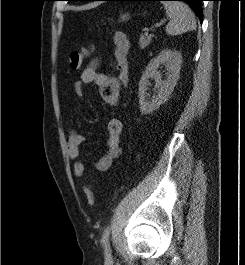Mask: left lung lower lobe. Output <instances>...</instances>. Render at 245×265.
<instances>
[{"instance_id": "obj_1", "label": "left lung lower lobe", "mask_w": 245, "mask_h": 265, "mask_svg": "<svg viewBox=\"0 0 245 265\" xmlns=\"http://www.w3.org/2000/svg\"><path fill=\"white\" fill-rule=\"evenodd\" d=\"M82 1H100V0H82ZM106 1H142V0H106ZM153 1H162V0H153ZM178 1H184L188 3L193 8V10L197 13L200 20L202 21L203 19L202 1L204 0H178Z\"/></svg>"}]
</instances>
